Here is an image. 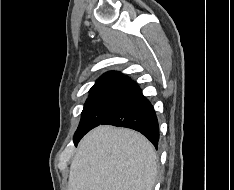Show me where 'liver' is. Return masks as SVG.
I'll use <instances>...</instances> for the list:
<instances>
[{
  "instance_id": "obj_1",
  "label": "liver",
  "mask_w": 234,
  "mask_h": 190,
  "mask_svg": "<svg viewBox=\"0 0 234 190\" xmlns=\"http://www.w3.org/2000/svg\"><path fill=\"white\" fill-rule=\"evenodd\" d=\"M156 176V153L143 135L99 126L78 145L68 190H153Z\"/></svg>"
}]
</instances>
